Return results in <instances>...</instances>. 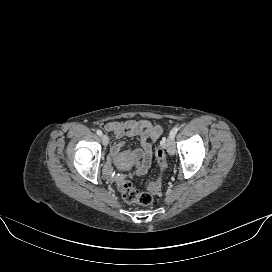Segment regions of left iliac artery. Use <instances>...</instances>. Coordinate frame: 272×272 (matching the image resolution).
Instances as JSON below:
<instances>
[{
  "instance_id": "left-iliac-artery-1",
  "label": "left iliac artery",
  "mask_w": 272,
  "mask_h": 272,
  "mask_svg": "<svg viewBox=\"0 0 272 272\" xmlns=\"http://www.w3.org/2000/svg\"><path fill=\"white\" fill-rule=\"evenodd\" d=\"M179 128L178 127H174L171 131H170V137H172L174 139L175 135L177 134Z\"/></svg>"
}]
</instances>
